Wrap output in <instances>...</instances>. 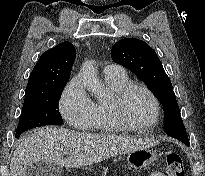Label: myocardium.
I'll return each mask as SVG.
<instances>
[{
    "instance_id": "myocardium-1",
    "label": "myocardium",
    "mask_w": 205,
    "mask_h": 176,
    "mask_svg": "<svg viewBox=\"0 0 205 176\" xmlns=\"http://www.w3.org/2000/svg\"><path fill=\"white\" fill-rule=\"evenodd\" d=\"M137 90L146 93L152 102L154 115L152 120L148 123H144V124L135 123L131 121L127 116L126 101L129 98V96ZM112 108L116 120L124 130H145L148 128H152L158 124L161 116L160 103L158 98L150 88L139 83H129L120 91H118L114 95Z\"/></svg>"
}]
</instances>
